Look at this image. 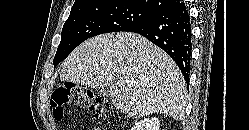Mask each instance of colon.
Segmentation results:
<instances>
[{"label": "colon", "mask_w": 249, "mask_h": 130, "mask_svg": "<svg viewBox=\"0 0 249 130\" xmlns=\"http://www.w3.org/2000/svg\"><path fill=\"white\" fill-rule=\"evenodd\" d=\"M50 104L56 120H62L64 109L67 106L82 105L87 108L103 124L108 125L110 104L95 95L92 91L82 88L74 83H62L51 94Z\"/></svg>", "instance_id": "obj_1"}]
</instances>
